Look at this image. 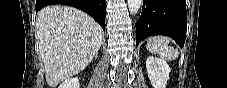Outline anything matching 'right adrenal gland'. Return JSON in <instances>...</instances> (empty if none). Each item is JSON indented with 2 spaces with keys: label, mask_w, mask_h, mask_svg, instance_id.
<instances>
[{
  "label": "right adrenal gland",
  "mask_w": 227,
  "mask_h": 88,
  "mask_svg": "<svg viewBox=\"0 0 227 88\" xmlns=\"http://www.w3.org/2000/svg\"><path fill=\"white\" fill-rule=\"evenodd\" d=\"M97 57H98V54L95 55V58H97Z\"/></svg>",
  "instance_id": "1"
}]
</instances>
